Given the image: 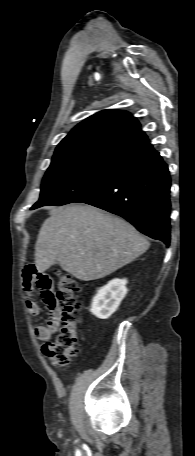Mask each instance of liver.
I'll use <instances>...</instances> for the list:
<instances>
[{
  "label": "liver",
  "instance_id": "liver-1",
  "mask_svg": "<svg viewBox=\"0 0 195 456\" xmlns=\"http://www.w3.org/2000/svg\"><path fill=\"white\" fill-rule=\"evenodd\" d=\"M150 243L131 224L93 206L55 208L38 235L35 264L44 272L55 263L82 281L103 278L130 263Z\"/></svg>",
  "mask_w": 195,
  "mask_h": 456
}]
</instances>
